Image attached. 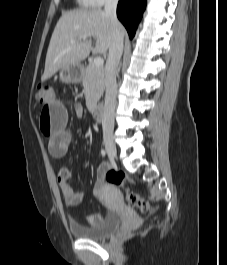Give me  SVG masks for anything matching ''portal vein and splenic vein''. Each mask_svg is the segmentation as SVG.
I'll return each mask as SVG.
<instances>
[{
  "label": "portal vein and splenic vein",
  "instance_id": "portal-vein-and-splenic-vein-1",
  "mask_svg": "<svg viewBox=\"0 0 227 265\" xmlns=\"http://www.w3.org/2000/svg\"><path fill=\"white\" fill-rule=\"evenodd\" d=\"M86 38H84L85 40ZM77 41H73L72 44L76 43ZM93 63L96 67H102L104 64V61L101 57H95L93 60Z\"/></svg>",
  "mask_w": 227,
  "mask_h": 265
}]
</instances>
